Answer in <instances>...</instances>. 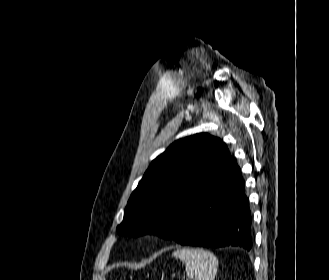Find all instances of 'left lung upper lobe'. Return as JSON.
Segmentation results:
<instances>
[{"label":"left lung upper lobe","mask_w":329,"mask_h":280,"mask_svg":"<svg viewBox=\"0 0 329 280\" xmlns=\"http://www.w3.org/2000/svg\"><path fill=\"white\" fill-rule=\"evenodd\" d=\"M233 160L226 145L208 134L174 142L151 163L131 194L117 232L161 236L204 194L219 189Z\"/></svg>","instance_id":"left-lung-upper-lobe-1"}]
</instances>
